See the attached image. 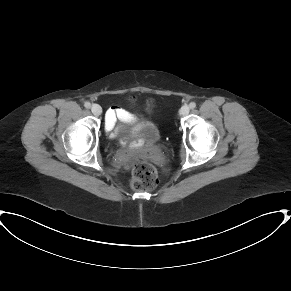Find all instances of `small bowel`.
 <instances>
[{
    "instance_id": "1",
    "label": "small bowel",
    "mask_w": 291,
    "mask_h": 291,
    "mask_svg": "<svg viewBox=\"0 0 291 291\" xmlns=\"http://www.w3.org/2000/svg\"><path fill=\"white\" fill-rule=\"evenodd\" d=\"M129 116V113L120 107H111L106 113V124L113 126L117 120H125ZM143 141H139L138 145H142Z\"/></svg>"
}]
</instances>
